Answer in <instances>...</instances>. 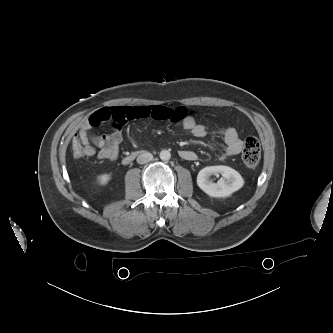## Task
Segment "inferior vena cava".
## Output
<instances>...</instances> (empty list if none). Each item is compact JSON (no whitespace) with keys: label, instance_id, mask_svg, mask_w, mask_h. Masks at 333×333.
Returning <instances> with one entry per match:
<instances>
[{"label":"inferior vena cava","instance_id":"inferior-vena-cava-1","mask_svg":"<svg viewBox=\"0 0 333 333\" xmlns=\"http://www.w3.org/2000/svg\"><path fill=\"white\" fill-rule=\"evenodd\" d=\"M153 159V155L150 152H143L137 157L138 164L148 163Z\"/></svg>","mask_w":333,"mask_h":333}]
</instances>
